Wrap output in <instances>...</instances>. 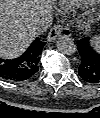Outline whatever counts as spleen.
<instances>
[{
  "label": "spleen",
  "instance_id": "obj_1",
  "mask_svg": "<svg viewBox=\"0 0 100 118\" xmlns=\"http://www.w3.org/2000/svg\"><path fill=\"white\" fill-rule=\"evenodd\" d=\"M93 47L98 51L99 50V43L97 41L92 42Z\"/></svg>",
  "mask_w": 100,
  "mask_h": 118
}]
</instances>
